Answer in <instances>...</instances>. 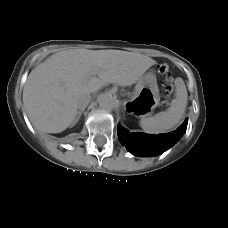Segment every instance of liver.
<instances>
[{
  "mask_svg": "<svg viewBox=\"0 0 228 228\" xmlns=\"http://www.w3.org/2000/svg\"><path fill=\"white\" fill-rule=\"evenodd\" d=\"M155 64L150 57L121 50L58 52L29 74L23 89L25 111L37 130L60 133L77 116L79 93H95L108 83L130 86Z\"/></svg>",
  "mask_w": 228,
  "mask_h": 228,
  "instance_id": "obj_1",
  "label": "liver"
}]
</instances>
